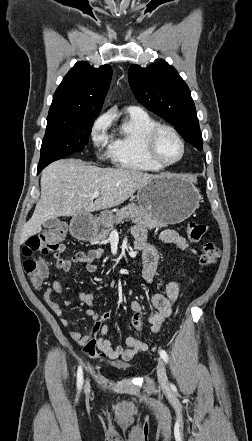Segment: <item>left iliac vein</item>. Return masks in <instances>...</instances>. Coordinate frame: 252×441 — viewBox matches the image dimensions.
Returning <instances> with one entry per match:
<instances>
[{"label": "left iliac vein", "mask_w": 252, "mask_h": 441, "mask_svg": "<svg viewBox=\"0 0 252 441\" xmlns=\"http://www.w3.org/2000/svg\"><path fill=\"white\" fill-rule=\"evenodd\" d=\"M157 376H158L159 383L162 387L168 386V378H167V374H166L165 365L161 359L158 360Z\"/></svg>", "instance_id": "4c4485c4"}]
</instances>
